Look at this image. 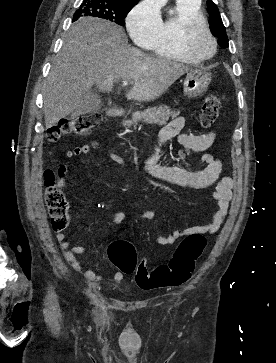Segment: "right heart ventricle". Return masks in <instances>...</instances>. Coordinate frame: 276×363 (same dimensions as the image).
Wrapping results in <instances>:
<instances>
[{
  "mask_svg": "<svg viewBox=\"0 0 276 363\" xmlns=\"http://www.w3.org/2000/svg\"><path fill=\"white\" fill-rule=\"evenodd\" d=\"M193 19L205 21L200 1L177 0L175 14L161 22L157 36L146 47L157 56L196 64L197 62L191 60L183 51L180 41L182 25Z\"/></svg>",
  "mask_w": 276,
  "mask_h": 363,
  "instance_id": "obj_1",
  "label": "right heart ventricle"
}]
</instances>
